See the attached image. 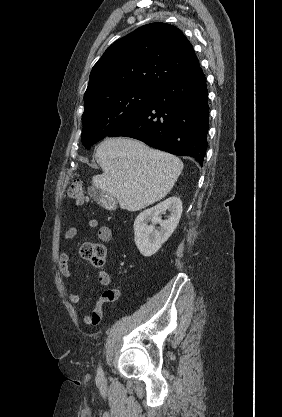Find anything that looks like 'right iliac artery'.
I'll list each match as a JSON object with an SVG mask.
<instances>
[{
  "label": "right iliac artery",
  "mask_w": 282,
  "mask_h": 417,
  "mask_svg": "<svg viewBox=\"0 0 282 417\" xmlns=\"http://www.w3.org/2000/svg\"><path fill=\"white\" fill-rule=\"evenodd\" d=\"M97 372H98L99 375H102L103 374V371H102L101 367L98 368V371Z\"/></svg>",
  "instance_id": "obj_1"
}]
</instances>
